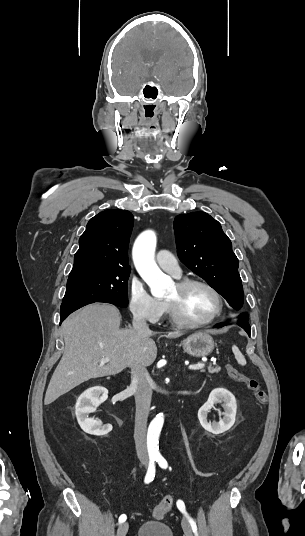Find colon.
<instances>
[{
    "label": "colon",
    "instance_id": "colon-1",
    "mask_svg": "<svg viewBox=\"0 0 305 536\" xmlns=\"http://www.w3.org/2000/svg\"><path fill=\"white\" fill-rule=\"evenodd\" d=\"M225 371L228 377L246 385L248 389L253 392L255 399L259 404L266 403L267 392L261 387L260 382L257 379L244 374L231 364L225 366ZM173 502L174 499L171 494L164 495L162 500L154 507L152 511L153 516L155 518H163L171 510Z\"/></svg>",
    "mask_w": 305,
    "mask_h": 536
}]
</instances>
